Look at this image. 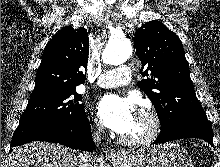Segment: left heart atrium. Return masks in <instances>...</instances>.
<instances>
[{"mask_svg":"<svg viewBox=\"0 0 220 167\" xmlns=\"http://www.w3.org/2000/svg\"><path fill=\"white\" fill-rule=\"evenodd\" d=\"M95 110L100 121L111 130L124 134L132 126L135 108L130 98L106 94L97 99Z\"/></svg>","mask_w":220,"mask_h":167,"instance_id":"1","label":"left heart atrium"}]
</instances>
